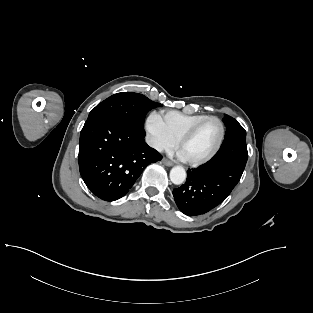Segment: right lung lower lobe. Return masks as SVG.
Listing matches in <instances>:
<instances>
[{
    "mask_svg": "<svg viewBox=\"0 0 313 313\" xmlns=\"http://www.w3.org/2000/svg\"><path fill=\"white\" fill-rule=\"evenodd\" d=\"M144 137V130L116 117L85 122L78 161L80 174L94 195L106 201L123 197L148 164L162 159Z\"/></svg>",
    "mask_w": 313,
    "mask_h": 313,
    "instance_id": "right-lung-lower-lobe-1",
    "label": "right lung lower lobe"
}]
</instances>
